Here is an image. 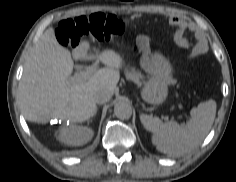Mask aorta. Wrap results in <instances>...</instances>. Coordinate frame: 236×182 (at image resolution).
Here are the masks:
<instances>
[{
    "label": "aorta",
    "instance_id": "1",
    "mask_svg": "<svg viewBox=\"0 0 236 182\" xmlns=\"http://www.w3.org/2000/svg\"><path fill=\"white\" fill-rule=\"evenodd\" d=\"M114 113L119 119H129L132 115V107L127 101H119L114 106Z\"/></svg>",
    "mask_w": 236,
    "mask_h": 182
}]
</instances>
